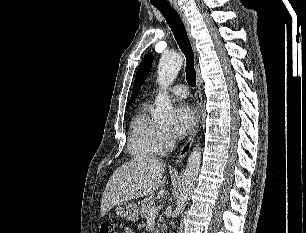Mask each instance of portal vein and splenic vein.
Segmentation results:
<instances>
[{
	"instance_id": "18ae733b",
	"label": "portal vein and splenic vein",
	"mask_w": 306,
	"mask_h": 233,
	"mask_svg": "<svg viewBox=\"0 0 306 233\" xmlns=\"http://www.w3.org/2000/svg\"><path fill=\"white\" fill-rule=\"evenodd\" d=\"M157 208L156 207H154V206H151V207H149L148 208V216H154V215H156L157 214Z\"/></svg>"
}]
</instances>
